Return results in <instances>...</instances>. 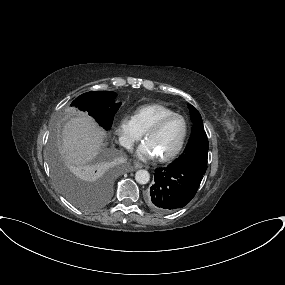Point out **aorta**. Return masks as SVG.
I'll return each mask as SVG.
<instances>
[{
    "label": "aorta",
    "mask_w": 285,
    "mask_h": 285,
    "mask_svg": "<svg viewBox=\"0 0 285 285\" xmlns=\"http://www.w3.org/2000/svg\"><path fill=\"white\" fill-rule=\"evenodd\" d=\"M135 180L139 184H147L150 180V174L147 170H138L135 174Z\"/></svg>",
    "instance_id": "aorta-1"
}]
</instances>
